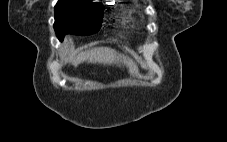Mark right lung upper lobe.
Listing matches in <instances>:
<instances>
[{
    "mask_svg": "<svg viewBox=\"0 0 227 142\" xmlns=\"http://www.w3.org/2000/svg\"><path fill=\"white\" fill-rule=\"evenodd\" d=\"M83 1H86V2H91L90 0H83ZM93 3V2H92Z\"/></svg>",
    "mask_w": 227,
    "mask_h": 142,
    "instance_id": "1",
    "label": "right lung upper lobe"
}]
</instances>
